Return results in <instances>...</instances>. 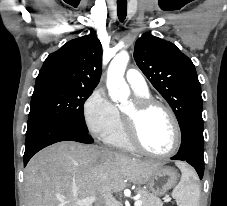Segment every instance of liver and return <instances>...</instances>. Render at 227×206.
I'll return each mask as SVG.
<instances>
[{"label":"liver","mask_w":227,"mask_h":206,"mask_svg":"<svg viewBox=\"0 0 227 206\" xmlns=\"http://www.w3.org/2000/svg\"><path fill=\"white\" fill-rule=\"evenodd\" d=\"M161 166L162 162L138 160L95 145L62 141L29 161L25 206H77V201L91 196L96 197L94 206H106L107 192L122 191L127 181L147 183Z\"/></svg>","instance_id":"1"}]
</instances>
